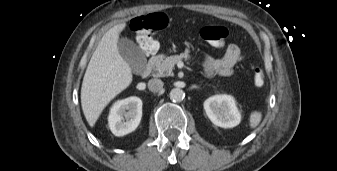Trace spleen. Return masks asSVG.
Returning <instances> with one entry per match:
<instances>
[{"label": "spleen", "mask_w": 337, "mask_h": 171, "mask_svg": "<svg viewBox=\"0 0 337 171\" xmlns=\"http://www.w3.org/2000/svg\"><path fill=\"white\" fill-rule=\"evenodd\" d=\"M262 120V113L259 111H253L249 117V124L251 128H256Z\"/></svg>", "instance_id": "spleen-1"}]
</instances>
